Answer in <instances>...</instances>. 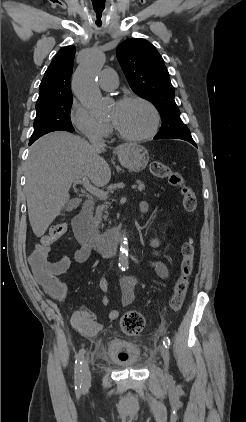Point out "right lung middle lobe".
<instances>
[{
	"label": "right lung middle lobe",
	"instance_id": "dd1d6c3e",
	"mask_svg": "<svg viewBox=\"0 0 246 422\" xmlns=\"http://www.w3.org/2000/svg\"><path fill=\"white\" fill-rule=\"evenodd\" d=\"M73 97L62 98L46 106L36 108L34 132L29 142H34L41 136L58 130L73 132L70 119Z\"/></svg>",
	"mask_w": 246,
	"mask_h": 422
}]
</instances>
